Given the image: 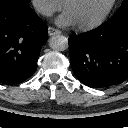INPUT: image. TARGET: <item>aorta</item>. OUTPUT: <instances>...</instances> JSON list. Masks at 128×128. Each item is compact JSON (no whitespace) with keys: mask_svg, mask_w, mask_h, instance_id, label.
Listing matches in <instances>:
<instances>
[{"mask_svg":"<svg viewBox=\"0 0 128 128\" xmlns=\"http://www.w3.org/2000/svg\"><path fill=\"white\" fill-rule=\"evenodd\" d=\"M49 46L55 51H64L68 48V39L63 35H53L49 39Z\"/></svg>","mask_w":128,"mask_h":128,"instance_id":"aorta-1","label":"aorta"}]
</instances>
